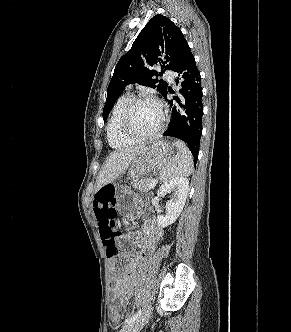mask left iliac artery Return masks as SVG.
<instances>
[{"label": "left iliac artery", "mask_w": 291, "mask_h": 332, "mask_svg": "<svg viewBox=\"0 0 291 332\" xmlns=\"http://www.w3.org/2000/svg\"><path fill=\"white\" fill-rule=\"evenodd\" d=\"M142 314V310L140 309L137 313L133 314L130 318H128L125 322V324H130L133 321H135L137 318H139Z\"/></svg>", "instance_id": "44dca946"}]
</instances>
